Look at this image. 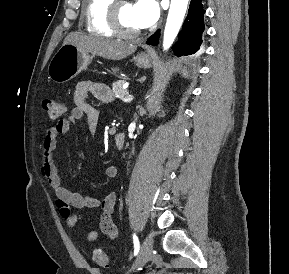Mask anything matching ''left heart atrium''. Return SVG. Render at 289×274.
I'll list each match as a JSON object with an SVG mask.
<instances>
[{"mask_svg": "<svg viewBox=\"0 0 289 274\" xmlns=\"http://www.w3.org/2000/svg\"><path fill=\"white\" fill-rule=\"evenodd\" d=\"M157 0H137L133 5V17L139 28L153 25L159 17Z\"/></svg>", "mask_w": 289, "mask_h": 274, "instance_id": "left-heart-atrium-1", "label": "left heart atrium"}]
</instances>
